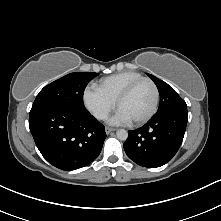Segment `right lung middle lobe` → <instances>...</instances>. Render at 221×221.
I'll return each instance as SVG.
<instances>
[{
	"instance_id": "1",
	"label": "right lung middle lobe",
	"mask_w": 221,
	"mask_h": 221,
	"mask_svg": "<svg viewBox=\"0 0 221 221\" xmlns=\"http://www.w3.org/2000/svg\"><path fill=\"white\" fill-rule=\"evenodd\" d=\"M97 75V73L75 72L50 83L39 92L30 113L51 106L85 109L83 103L85 87Z\"/></svg>"
}]
</instances>
